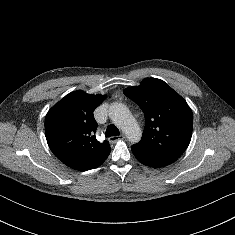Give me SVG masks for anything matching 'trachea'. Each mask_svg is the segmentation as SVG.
<instances>
[{
	"instance_id": "obj_1",
	"label": "trachea",
	"mask_w": 235,
	"mask_h": 235,
	"mask_svg": "<svg viewBox=\"0 0 235 235\" xmlns=\"http://www.w3.org/2000/svg\"><path fill=\"white\" fill-rule=\"evenodd\" d=\"M105 135L106 137L118 136L120 132L114 124H110L106 129Z\"/></svg>"
}]
</instances>
